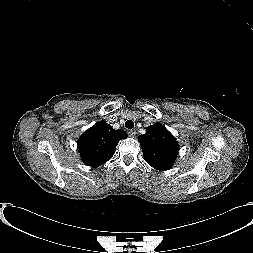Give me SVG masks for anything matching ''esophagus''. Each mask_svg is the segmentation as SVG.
Instances as JSON below:
<instances>
[{"label":"esophagus","mask_w":253,"mask_h":253,"mask_svg":"<svg viewBox=\"0 0 253 253\" xmlns=\"http://www.w3.org/2000/svg\"><path fill=\"white\" fill-rule=\"evenodd\" d=\"M128 134L130 137H135L136 136V131L135 130H129Z\"/></svg>","instance_id":"obj_1"}]
</instances>
